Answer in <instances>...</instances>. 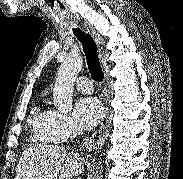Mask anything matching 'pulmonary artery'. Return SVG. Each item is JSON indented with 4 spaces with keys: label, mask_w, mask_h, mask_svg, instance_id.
Masks as SVG:
<instances>
[{
    "label": "pulmonary artery",
    "mask_w": 183,
    "mask_h": 179,
    "mask_svg": "<svg viewBox=\"0 0 183 179\" xmlns=\"http://www.w3.org/2000/svg\"><path fill=\"white\" fill-rule=\"evenodd\" d=\"M76 88L82 93L90 94L93 92V85L90 79L85 76L77 78L75 81Z\"/></svg>",
    "instance_id": "e3ab8cb5"
}]
</instances>
